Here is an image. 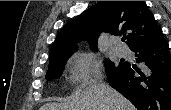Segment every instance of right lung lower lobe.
<instances>
[{
	"instance_id": "right-lung-lower-lobe-1",
	"label": "right lung lower lobe",
	"mask_w": 171,
	"mask_h": 110,
	"mask_svg": "<svg viewBox=\"0 0 171 110\" xmlns=\"http://www.w3.org/2000/svg\"><path fill=\"white\" fill-rule=\"evenodd\" d=\"M131 50L142 65L124 62L108 72L109 84L138 110H171V53L163 34Z\"/></svg>"
}]
</instances>
